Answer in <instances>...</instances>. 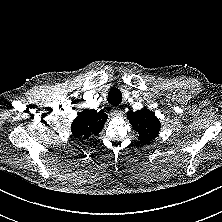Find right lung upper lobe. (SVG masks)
I'll return each instance as SVG.
<instances>
[{
	"instance_id": "cb5924a9",
	"label": "right lung upper lobe",
	"mask_w": 222,
	"mask_h": 222,
	"mask_svg": "<svg viewBox=\"0 0 222 222\" xmlns=\"http://www.w3.org/2000/svg\"><path fill=\"white\" fill-rule=\"evenodd\" d=\"M108 116L96 110L85 109L80 112L71 124V132L75 138L88 139L97 136L104 127Z\"/></svg>"
}]
</instances>
